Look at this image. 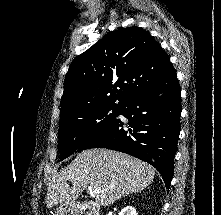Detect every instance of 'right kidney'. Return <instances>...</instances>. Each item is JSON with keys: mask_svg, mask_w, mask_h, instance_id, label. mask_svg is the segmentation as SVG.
I'll return each instance as SVG.
<instances>
[{"mask_svg": "<svg viewBox=\"0 0 221 215\" xmlns=\"http://www.w3.org/2000/svg\"><path fill=\"white\" fill-rule=\"evenodd\" d=\"M119 215H138L135 208L132 206H126L121 210Z\"/></svg>", "mask_w": 221, "mask_h": 215, "instance_id": "obj_1", "label": "right kidney"}]
</instances>
